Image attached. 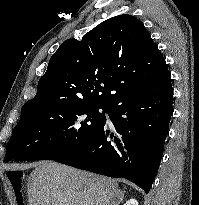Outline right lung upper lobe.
Returning a JSON list of instances; mask_svg holds the SVG:
<instances>
[{
	"mask_svg": "<svg viewBox=\"0 0 199 205\" xmlns=\"http://www.w3.org/2000/svg\"><path fill=\"white\" fill-rule=\"evenodd\" d=\"M165 73V59L143 23L132 15H118L82 40L63 42L50 58L35 97L24 106L67 102L109 108L140 90L144 78Z\"/></svg>",
	"mask_w": 199,
	"mask_h": 205,
	"instance_id": "cb5924a9",
	"label": "right lung upper lobe"
}]
</instances>
